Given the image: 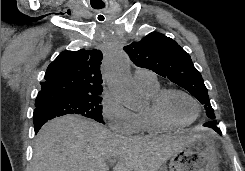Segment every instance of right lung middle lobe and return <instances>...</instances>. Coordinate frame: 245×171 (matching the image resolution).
I'll list each match as a JSON object with an SVG mask.
<instances>
[{"label":"right lung middle lobe","instance_id":"1","mask_svg":"<svg viewBox=\"0 0 245 171\" xmlns=\"http://www.w3.org/2000/svg\"><path fill=\"white\" fill-rule=\"evenodd\" d=\"M101 101L102 97L100 94L86 96L48 97L35 106L36 108L41 107L47 110L55 117L66 114H80L105 124L102 116Z\"/></svg>","mask_w":245,"mask_h":171}]
</instances>
